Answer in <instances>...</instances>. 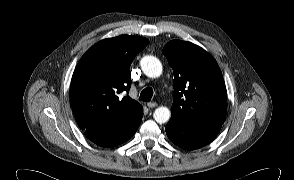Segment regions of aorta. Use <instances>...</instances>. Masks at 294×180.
I'll list each match as a JSON object with an SVG mask.
<instances>
[{
	"mask_svg": "<svg viewBox=\"0 0 294 180\" xmlns=\"http://www.w3.org/2000/svg\"><path fill=\"white\" fill-rule=\"evenodd\" d=\"M140 66L143 73L150 78H157L162 74V64L154 56H144L140 61ZM170 116V110L164 106L158 107L153 114L155 121L159 124L168 122Z\"/></svg>",
	"mask_w": 294,
	"mask_h": 180,
	"instance_id": "762f6f07",
	"label": "aorta"
}]
</instances>
